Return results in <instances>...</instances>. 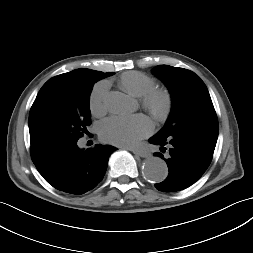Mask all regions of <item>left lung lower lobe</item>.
I'll return each instance as SVG.
<instances>
[{"instance_id": "0a47b994", "label": "left lung lower lobe", "mask_w": 253, "mask_h": 253, "mask_svg": "<svg viewBox=\"0 0 253 253\" xmlns=\"http://www.w3.org/2000/svg\"><path fill=\"white\" fill-rule=\"evenodd\" d=\"M217 135L202 129H195L167 138L154 136L150 143L160 145L164 153L169 147V158L156 152L163 158L169 169L167 178L155 185L159 191L174 192L183 190L195 183L208 168L217 142Z\"/></svg>"}]
</instances>
